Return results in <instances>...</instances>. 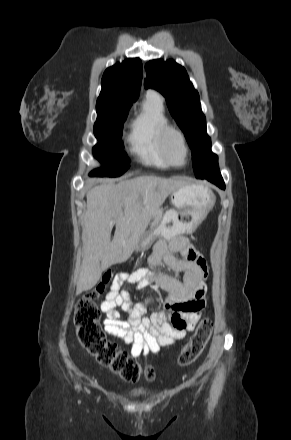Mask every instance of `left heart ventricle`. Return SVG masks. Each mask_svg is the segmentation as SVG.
Masks as SVG:
<instances>
[{"instance_id": "obj_1", "label": "left heart ventricle", "mask_w": 291, "mask_h": 440, "mask_svg": "<svg viewBox=\"0 0 291 440\" xmlns=\"http://www.w3.org/2000/svg\"><path fill=\"white\" fill-rule=\"evenodd\" d=\"M168 151L172 160L176 163H182L184 161V150L175 135H171L168 140Z\"/></svg>"}]
</instances>
